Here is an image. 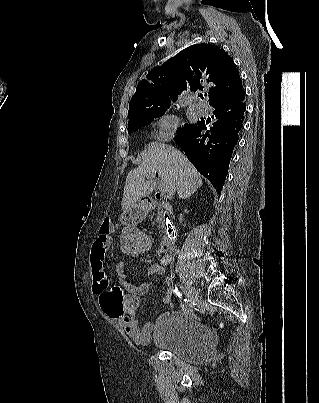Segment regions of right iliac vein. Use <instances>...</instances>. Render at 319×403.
Segmentation results:
<instances>
[{
	"instance_id": "1",
	"label": "right iliac vein",
	"mask_w": 319,
	"mask_h": 403,
	"mask_svg": "<svg viewBox=\"0 0 319 403\" xmlns=\"http://www.w3.org/2000/svg\"><path fill=\"white\" fill-rule=\"evenodd\" d=\"M185 293L190 300L191 303H195L198 300V292L196 289L190 285H185L184 286Z\"/></svg>"
}]
</instances>
